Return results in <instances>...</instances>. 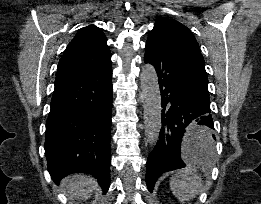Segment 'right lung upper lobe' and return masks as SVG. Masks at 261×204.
<instances>
[{
    "instance_id": "obj_1",
    "label": "right lung upper lobe",
    "mask_w": 261,
    "mask_h": 204,
    "mask_svg": "<svg viewBox=\"0 0 261 204\" xmlns=\"http://www.w3.org/2000/svg\"><path fill=\"white\" fill-rule=\"evenodd\" d=\"M106 41L98 27L82 28L62 55L56 79L89 72L108 63L111 56Z\"/></svg>"
}]
</instances>
